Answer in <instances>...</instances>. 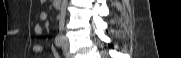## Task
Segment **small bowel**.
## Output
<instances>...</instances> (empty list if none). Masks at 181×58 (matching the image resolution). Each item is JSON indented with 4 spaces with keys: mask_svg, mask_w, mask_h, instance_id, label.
Returning a JSON list of instances; mask_svg holds the SVG:
<instances>
[{
    "mask_svg": "<svg viewBox=\"0 0 181 58\" xmlns=\"http://www.w3.org/2000/svg\"><path fill=\"white\" fill-rule=\"evenodd\" d=\"M44 18H45V16L43 15L41 19H44ZM42 31H43V28H42L41 24L38 23V24L35 26V32H36L37 34H41ZM33 52H34V53H41V52H42V47H41L40 45H35V46L33 47Z\"/></svg>",
    "mask_w": 181,
    "mask_h": 58,
    "instance_id": "obj_1",
    "label": "small bowel"
}]
</instances>
